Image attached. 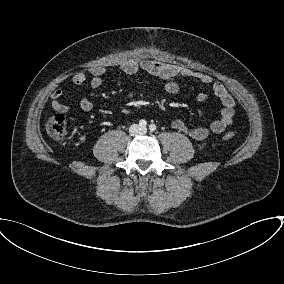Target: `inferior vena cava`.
<instances>
[{
    "label": "inferior vena cava",
    "mask_w": 284,
    "mask_h": 284,
    "mask_svg": "<svg viewBox=\"0 0 284 284\" xmlns=\"http://www.w3.org/2000/svg\"><path fill=\"white\" fill-rule=\"evenodd\" d=\"M129 132H130L131 135L141 134L142 128L137 124H133V125H131Z\"/></svg>",
    "instance_id": "602c4592"
}]
</instances>
